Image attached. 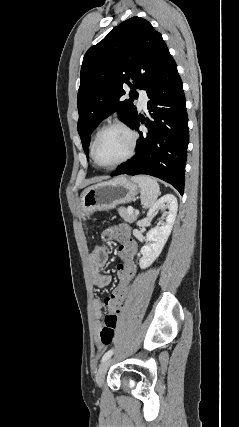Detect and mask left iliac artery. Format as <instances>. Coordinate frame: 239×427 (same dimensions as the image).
<instances>
[{
    "label": "left iliac artery",
    "instance_id": "obj_1",
    "mask_svg": "<svg viewBox=\"0 0 239 427\" xmlns=\"http://www.w3.org/2000/svg\"><path fill=\"white\" fill-rule=\"evenodd\" d=\"M114 353V350L113 349H111V350H109V351H107L104 355H103V357H102V362H104L105 360H107V359H109L111 356H112V354Z\"/></svg>",
    "mask_w": 239,
    "mask_h": 427
}]
</instances>
